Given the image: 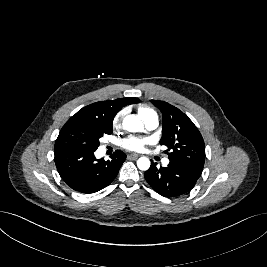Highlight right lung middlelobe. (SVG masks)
I'll return each instance as SVG.
<instances>
[{
  "label": "right lung middle lobe",
  "mask_w": 267,
  "mask_h": 267,
  "mask_svg": "<svg viewBox=\"0 0 267 267\" xmlns=\"http://www.w3.org/2000/svg\"><path fill=\"white\" fill-rule=\"evenodd\" d=\"M112 131L111 123L68 120L59 132L54 151H95L99 139Z\"/></svg>",
  "instance_id": "dd1d6c3e"
}]
</instances>
